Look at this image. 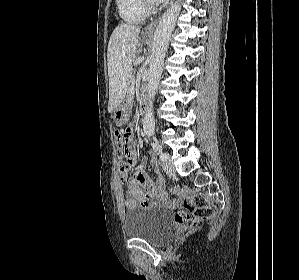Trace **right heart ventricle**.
<instances>
[{"label":"right heart ventricle","instance_id":"e07e8e85","mask_svg":"<svg viewBox=\"0 0 299 280\" xmlns=\"http://www.w3.org/2000/svg\"><path fill=\"white\" fill-rule=\"evenodd\" d=\"M116 3L120 17L127 23H141L148 15L141 0H116Z\"/></svg>","mask_w":299,"mask_h":280}]
</instances>
